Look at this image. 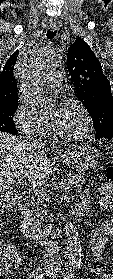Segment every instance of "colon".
I'll return each mask as SVG.
<instances>
[{
  "label": "colon",
  "instance_id": "5ec220e1",
  "mask_svg": "<svg viewBox=\"0 0 113 279\" xmlns=\"http://www.w3.org/2000/svg\"><path fill=\"white\" fill-rule=\"evenodd\" d=\"M105 176V188L108 189L109 192H113V165L106 168ZM17 257L18 255L15 251H7L6 247L0 245V276L4 274L7 263H14L17 260Z\"/></svg>",
  "mask_w": 113,
  "mask_h": 279
}]
</instances>
